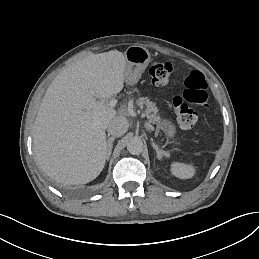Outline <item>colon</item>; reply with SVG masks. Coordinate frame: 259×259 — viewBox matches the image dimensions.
<instances>
[{"mask_svg":"<svg viewBox=\"0 0 259 259\" xmlns=\"http://www.w3.org/2000/svg\"><path fill=\"white\" fill-rule=\"evenodd\" d=\"M173 72L170 62H153L149 67L152 83L156 86L168 84ZM209 102L208 84L200 71H192L184 82L182 96L173 99L174 112L179 126L183 129H193L201 121L200 115L192 105L207 106Z\"/></svg>","mask_w":259,"mask_h":259,"instance_id":"1","label":"colon"}]
</instances>
